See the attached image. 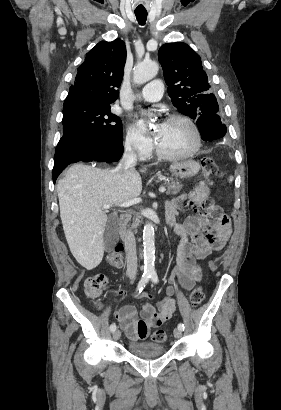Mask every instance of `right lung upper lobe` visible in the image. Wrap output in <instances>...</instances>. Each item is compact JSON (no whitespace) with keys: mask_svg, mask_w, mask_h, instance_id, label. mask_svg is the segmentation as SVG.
<instances>
[{"mask_svg":"<svg viewBox=\"0 0 281 410\" xmlns=\"http://www.w3.org/2000/svg\"><path fill=\"white\" fill-rule=\"evenodd\" d=\"M125 62L126 47L122 40L99 42L78 68L64 106L77 103L110 106L118 97Z\"/></svg>","mask_w":281,"mask_h":410,"instance_id":"cb5924a9","label":"right lung upper lobe"}]
</instances>
